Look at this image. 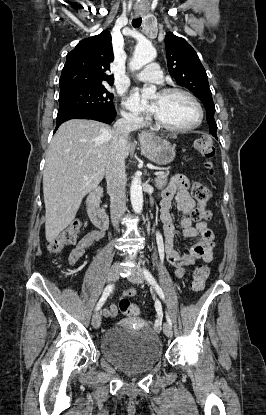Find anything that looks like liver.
<instances>
[{
	"label": "liver",
	"instance_id": "liver-1",
	"mask_svg": "<svg viewBox=\"0 0 266 415\" xmlns=\"http://www.w3.org/2000/svg\"><path fill=\"white\" fill-rule=\"evenodd\" d=\"M111 146V128L98 121L72 119L55 133L43 171L48 242L54 241L74 220L82 199L102 181ZM130 148L127 142L126 157ZM84 176L88 179L84 180Z\"/></svg>",
	"mask_w": 266,
	"mask_h": 415
}]
</instances>
